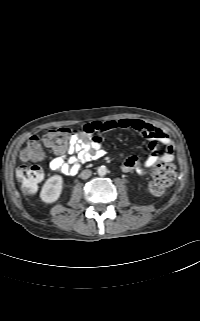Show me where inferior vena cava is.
<instances>
[{"instance_id":"1","label":"inferior vena cava","mask_w":200,"mask_h":321,"mask_svg":"<svg viewBox=\"0 0 200 321\" xmlns=\"http://www.w3.org/2000/svg\"><path fill=\"white\" fill-rule=\"evenodd\" d=\"M91 174H92L91 170H88V169L87 170H83L81 172V174H80V177L82 179H88L91 176Z\"/></svg>"}]
</instances>
